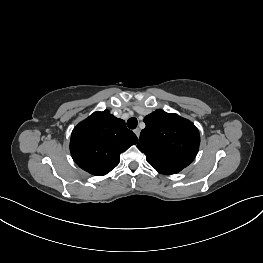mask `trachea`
Instances as JSON below:
<instances>
[{
    "label": "trachea",
    "mask_w": 263,
    "mask_h": 263,
    "mask_svg": "<svg viewBox=\"0 0 263 263\" xmlns=\"http://www.w3.org/2000/svg\"><path fill=\"white\" fill-rule=\"evenodd\" d=\"M137 124H138V121L136 118H130L128 121H127V126L130 128V129H135L137 127Z\"/></svg>",
    "instance_id": "trachea-1"
}]
</instances>
